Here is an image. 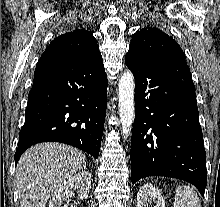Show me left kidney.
Returning <instances> with one entry per match:
<instances>
[{"label": "left kidney", "mask_w": 220, "mask_h": 207, "mask_svg": "<svg viewBox=\"0 0 220 207\" xmlns=\"http://www.w3.org/2000/svg\"><path fill=\"white\" fill-rule=\"evenodd\" d=\"M154 202V207H166L160 190L150 183L143 185L137 193L136 207H149Z\"/></svg>", "instance_id": "1"}]
</instances>
